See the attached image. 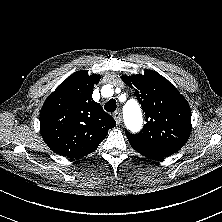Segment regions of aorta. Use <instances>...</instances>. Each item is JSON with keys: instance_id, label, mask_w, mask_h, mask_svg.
I'll list each match as a JSON object with an SVG mask.
<instances>
[{"instance_id": "obj_1", "label": "aorta", "mask_w": 222, "mask_h": 222, "mask_svg": "<svg viewBox=\"0 0 222 222\" xmlns=\"http://www.w3.org/2000/svg\"><path fill=\"white\" fill-rule=\"evenodd\" d=\"M125 117L128 127L138 131L142 126V113L137 104L131 103L125 108Z\"/></svg>"}]
</instances>
